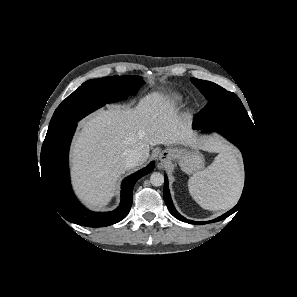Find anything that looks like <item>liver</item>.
Listing matches in <instances>:
<instances>
[{
  "label": "liver",
  "instance_id": "1",
  "mask_svg": "<svg viewBox=\"0 0 297 297\" xmlns=\"http://www.w3.org/2000/svg\"><path fill=\"white\" fill-rule=\"evenodd\" d=\"M159 144L202 146L174 105L157 92L146 95L134 109L110 106L92 114L82 122L71 151L77 195L90 207L106 206L114 195L117 180L127 170V155L139 150L144 162L150 146ZM204 147L217 149L216 143L210 141Z\"/></svg>",
  "mask_w": 297,
  "mask_h": 297
}]
</instances>
